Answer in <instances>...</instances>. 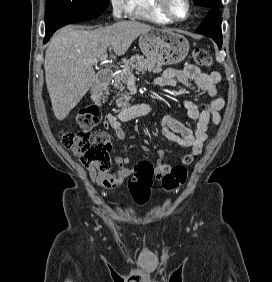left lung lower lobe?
Returning a JSON list of instances; mask_svg holds the SVG:
<instances>
[{
    "mask_svg": "<svg viewBox=\"0 0 272 282\" xmlns=\"http://www.w3.org/2000/svg\"><path fill=\"white\" fill-rule=\"evenodd\" d=\"M209 13L196 32L211 37L218 45L222 46L221 17L218 8L208 9Z\"/></svg>",
    "mask_w": 272,
    "mask_h": 282,
    "instance_id": "left-lung-lower-lobe-1",
    "label": "left lung lower lobe"
}]
</instances>
